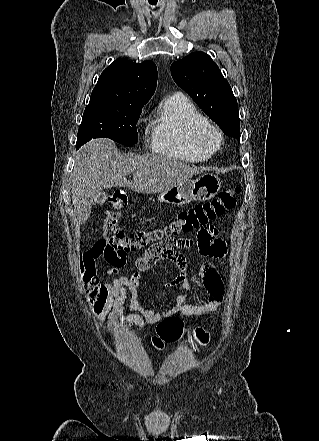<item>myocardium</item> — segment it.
I'll return each mask as SVG.
<instances>
[{"mask_svg": "<svg viewBox=\"0 0 319 441\" xmlns=\"http://www.w3.org/2000/svg\"><path fill=\"white\" fill-rule=\"evenodd\" d=\"M199 138L200 142L204 146L216 151L220 148L224 136L222 131L217 126L209 123L204 128H202Z\"/></svg>", "mask_w": 319, "mask_h": 441, "instance_id": "1", "label": "myocardium"}]
</instances>
